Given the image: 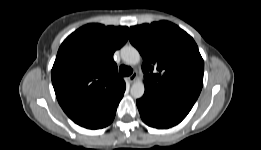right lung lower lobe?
Returning <instances> with one entry per match:
<instances>
[{"label":"right lung lower lobe","mask_w":261,"mask_h":150,"mask_svg":"<svg viewBox=\"0 0 261 150\" xmlns=\"http://www.w3.org/2000/svg\"><path fill=\"white\" fill-rule=\"evenodd\" d=\"M119 102L114 104L109 110H107L103 115H101L97 119L83 125V127L88 129H99L108 126L115 117L116 109Z\"/></svg>","instance_id":"98d812e1"}]
</instances>
